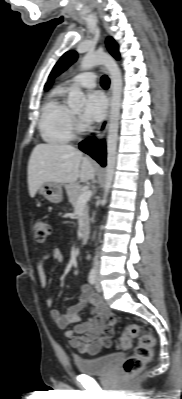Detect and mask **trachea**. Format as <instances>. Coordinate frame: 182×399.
<instances>
[{
    "label": "trachea",
    "instance_id": "obj_1",
    "mask_svg": "<svg viewBox=\"0 0 182 399\" xmlns=\"http://www.w3.org/2000/svg\"><path fill=\"white\" fill-rule=\"evenodd\" d=\"M109 84H110L109 78L106 75L102 76V78H101V86L103 88H108Z\"/></svg>",
    "mask_w": 182,
    "mask_h": 399
}]
</instances>
